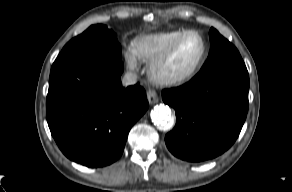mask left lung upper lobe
I'll use <instances>...</instances> for the list:
<instances>
[{
	"mask_svg": "<svg viewBox=\"0 0 292 192\" xmlns=\"http://www.w3.org/2000/svg\"><path fill=\"white\" fill-rule=\"evenodd\" d=\"M210 52L200 71L210 70L226 65H243L244 62L236 49L227 39L214 28L210 29Z\"/></svg>",
	"mask_w": 292,
	"mask_h": 192,
	"instance_id": "5c2ea615",
	"label": "left lung upper lobe"
}]
</instances>
